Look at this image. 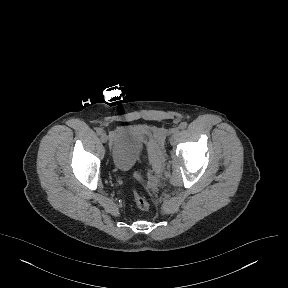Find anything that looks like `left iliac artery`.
<instances>
[{
    "label": "left iliac artery",
    "mask_w": 288,
    "mask_h": 288,
    "mask_svg": "<svg viewBox=\"0 0 288 288\" xmlns=\"http://www.w3.org/2000/svg\"><path fill=\"white\" fill-rule=\"evenodd\" d=\"M187 127V123L186 122H182V123H180V125H179V128L180 129H185Z\"/></svg>",
    "instance_id": "obj_1"
}]
</instances>
